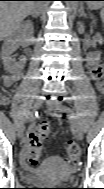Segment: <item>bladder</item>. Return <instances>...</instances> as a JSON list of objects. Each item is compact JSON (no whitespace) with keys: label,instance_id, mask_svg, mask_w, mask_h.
Listing matches in <instances>:
<instances>
[{"label":"bladder","instance_id":"31cf9c89","mask_svg":"<svg viewBox=\"0 0 104 189\" xmlns=\"http://www.w3.org/2000/svg\"><path fill=\"white\" fill-rule=\"evenodd\" d=\"M73 169L74 167L61 157L48 156L37 169L31 171L25 177V182L40 185L60 181L68 177Z\"/></svg>","mask_w":104,"mask_h":189}]
</instances>
